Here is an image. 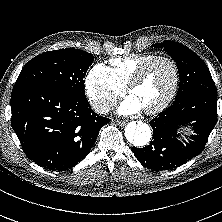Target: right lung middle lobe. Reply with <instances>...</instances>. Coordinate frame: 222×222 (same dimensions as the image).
<instances>
[{
	"label": "right lung middle lobe",
	"instance_id": "obj_1",
	"mask_svg": "<svg viewBox=\"0 0 222 222\" xmlns=\"http://www.w3.org/2000/svg\"><path fill=\"white\" fill-rule=\"evenodd\" d=\"M93 60L92 54L74 48L42 53L24 66L15 86L40 84L85 96L83 79Z\"/></svg>",
	"mask_w": 222,
	"mask_h": 222
}]
</instances>
